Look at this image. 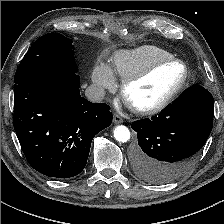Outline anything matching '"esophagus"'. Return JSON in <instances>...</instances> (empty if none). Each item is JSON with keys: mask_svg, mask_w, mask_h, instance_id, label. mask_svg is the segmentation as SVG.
<instances>
[{"mask_svg": "<svg viewBox=\"0 0 224 224\" xmlns=\"http://www.w3.org/2000/svg\"><path fill=\"white\" fill-rule=\"evenodd\" d=\"M113 122H114L115 124H120V123L123 122V119H122L121 116H119L118 114L115 113V114L113 115Z\"/></svg>", "mask_w": 224, "mask_h": 224, "instance_id": "esophagus-1", "label": "esophagus"}]
</instances>
